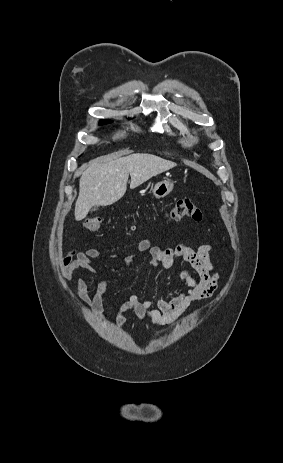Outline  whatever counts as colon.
Returning a JSON list of instances; mask_svg holds the SVG:
<instances>
[{"label": "colon", "instance_id": "5ec220e1", "mask_svg": "<svg viewBox=\"0 0 283 463\" xmlns=\"http://www.w3.org/2000/svg\"><path fill=\"white\" fill-rule=\"evenodd\" d=\"M170 218L173 220L192 219L200 221L202 219L201 211L189 199H180L176 201L170 211ZM103 220L100 217L87 218L84 226L91 232H98L102 228Z\"/></svg>", "mask_w": 283, "mask_h": 463}]
</instances>
